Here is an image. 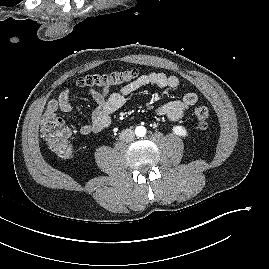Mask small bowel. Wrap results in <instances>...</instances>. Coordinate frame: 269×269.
<instances>
[{"mask_svg": "<svg viewBox=\"0 0 269 269\" xmlns=\"http://www.w3.org/2000/svg\"><path fill=\"white\" fill-rule=\"evenodd\" d=\"M146 85H155L159 88L175 89L179 86V79L175 75H167L162 72H150L138 76L134 81L120 87L116 92L110 93L109 89H89V93L96 103L88 124L79 128L82 135H90L104 131L110 125L111 116L125 103L126 98ZM71 90L64 89L57 98L51 99L46 108V115L56 116L58 111L69 112L72 110L70 101ZM198 101L195 92H186L181 99L168 101L157 108L159 116L175 122L180 120L184 114ZM67 136L70 134L66 128Z\"/></svg>", "mask_w": 269, "mask_h": 269, "instance_id": "small-bowel-1", "label": "small bowel"}]
</instances>
